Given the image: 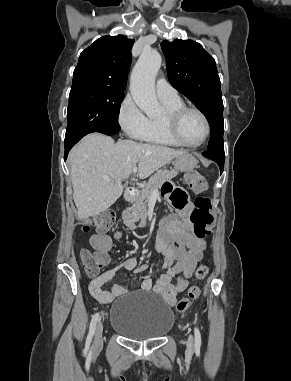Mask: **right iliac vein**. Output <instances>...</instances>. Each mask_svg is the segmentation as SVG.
<instances>
[{"instance_id": "obj_1", "label": "right iliac vein", "mask_w": 291, "mask_h": 381, "mask_svg": "<svg viewBox=\"0 0 291 381\" xmlns=\"http://www.w3.org/2000/svg\"><path fill=\"white\" fill-rule=\"evenodd\" d=\"M102 336H103V324L102 322H99L95 330V339H94L95 349H98L102 346V342H103Z\"/></svg>"}]
</instances>
